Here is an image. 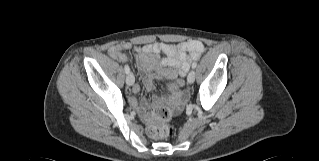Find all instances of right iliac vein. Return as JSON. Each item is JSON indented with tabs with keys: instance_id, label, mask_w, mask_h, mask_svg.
Masks as SVG:
<instances>
[{
	"instance_id": "obj_1",
	"label": "right iliac vein",
	"mask_w": 319,
	"mask_h": 161,
	"mask_svg": "<svg viewBox=\"0 0 319 161\" xmlns=\"http://www.w3.org/2000/svg\"><path fill=\"white\" fill-rule=\"evenodd\" d=\"M126 83L128 86H131L133 85L134 83V76L132 73H128L127 76H126Z\"/></svg>"
}]
</instances>
